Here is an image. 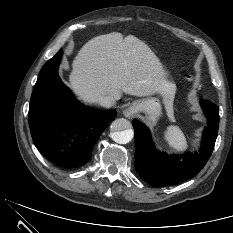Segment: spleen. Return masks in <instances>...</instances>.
<instances>
[{
	"mask_svg": "<svg viewBox=\"0 0 233 233\" xmlns=\"http://www.w3.org/2000/svg\"><path fill=\"white\" fill-rule=\"evenodd\" d=\"M164 139L168 143L169 147L178 152H184L187 150L186 138L178 126H168L164 133Z\"/></svg>",
	"mask_w": 233,
	"mask_h": 233,
	"instance_id": "spleen-1",
	"label": "spleen"
}]
</instances>
